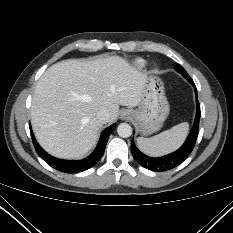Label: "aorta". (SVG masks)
<instances>
[{
	"mask_svg": "<svg viewBox=\"0 0 233 233\" xmlns=\"http://www.w3.org/2000/svg\"><path fill=\"white\" fill-rule=\"evenodd\" d=\"M117 133L122 138H128L132 134V127L127 123H121L118 125Z\"/></svg>",
	"mask_w": 233,
	"mask_h": 233,
	"instance_id": "762f6f07",
	"label": "aorta"
}]
</instances>
